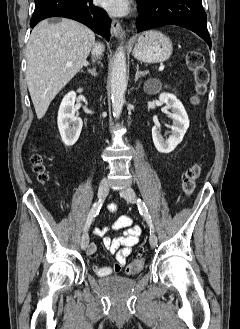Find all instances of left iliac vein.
<instances>
[{"mask_svg": "<svg viewBox=\"0 0 240 329\" xmlns=\"http://www.w3.org/2000/svg\"><path fill=\"white\" fill-rule=\"evenodd\" d=\"M119 193L126 201L130 203L136 202V194L132 188L127 187L125 189L120 190ZM149 243L151 247H155L157 245V237L154 233L150 234Z\"/></svg>", "mask_w": 240, "mask_h": 329, "instance_id": "obj_1", "label": "left iliac vein"}]
</instances>
